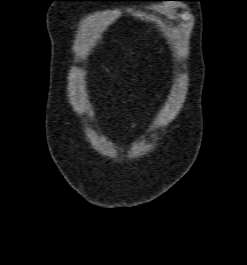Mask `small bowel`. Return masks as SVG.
Wrapping results in <instances>:
<instances>
[{"label": "small bowel", "instance_id": "c3829d8e", "mask_svg": "<svg viewBox=\"0 0 247 265\" xmlns=\"http://www.w3.org/2000/svg\"><path fill=\"white\" fill-rule=\"evenodd\" d=\"M138 124L137 123H134L133 126H132V130H135L137 128Z\"/></svg>", "mask_w": 247, "mask_h": 265}]
</instances>
